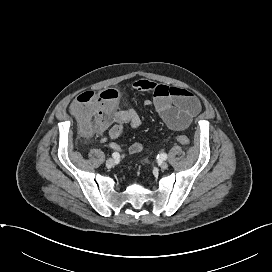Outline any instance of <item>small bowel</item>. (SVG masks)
<instances>
[{
  "mask_svg": "<svg viewBox=\"0 0 272 272\" xmlns=\"http://www.w3.org/2000/svg\"><path fill=\"white\" fill-rule=\"evenodd\" d=\"M133 88L152 95V104L156 112L174 131L187 129L202 108L198 98L183 88L158 84L146 79L135 81ZM126 125L132 128L141 125V119L134 109L129 108L114 114L101 127L102 130L108 129L109 145L115 151H121V146L116 140L121 136ZM142 149L143 144L140 141L132 143L129 147V151L133 154L141 152Z\"/></svg>",
  "mask_w": 272,
  "mask_h": 272,
  "instance_id": "obj_1",
  "label": "small bowel"
}]
</instances>
